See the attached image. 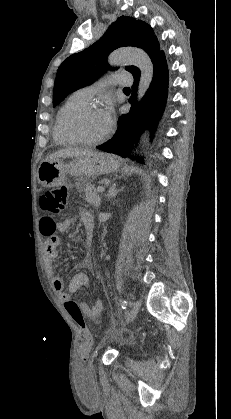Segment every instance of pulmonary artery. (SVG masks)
I'll return each instance as SVG.
<instances>
[{
  "label": "pulmonary artery",
  "instance_id": "1",
  "mask_svg": "<svg viewBox=\"0 0 231 419\" xmlns=\"http://www.w3.org/2000/svg\"><path fill=\"white\" fill-rule=\"evenodd\" d=\"M131 85L132 77L128 74L115 73L107 76L91 85H87L78 91L88 100H90L96 93L105 90L110 85Z\"/></svg>",
  "mask_w": 231,
  "mask_h": 419
}]
</instances>
